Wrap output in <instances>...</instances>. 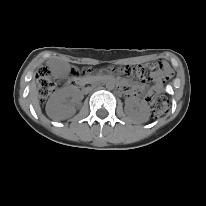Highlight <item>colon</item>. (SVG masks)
<instances>
[{
  "mask_svg": "<svg viewBox=\"0 0 206 206\" xmlns=\"http://www.w3.org/2000/svg\"><path fill=\"white\" fill-rule=\"evenodd\" d=\"M162 63L151 65H139L135 68L126 66L122 72L127 75H135L142 80H148L150 77L162 70ZM38 94L41 102H44L56 87V82L51 76L47 67H41L37 74ZM151 103V110L154 117H160L166 113L169 103L164 97L149 98Z\"/></svg>",
  "mask_w": 206,
  "mask_h": 206,
  "instance_id": "1",
  "label": "colon"
}]
</instances>
